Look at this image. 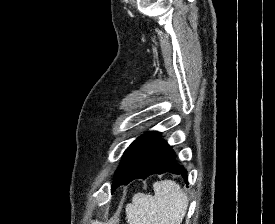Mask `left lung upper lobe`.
Wrapping results in <instances>:
<instances>
[{
	"label": "left lung upper lobe",
	"mask_w": 275,
	"mask_h": 224,
	"mask_svg": "<svg viewBox=\"0 0 275 224\" xmlns=\"http://www.w3.org/2000/svg\"><path fill=\"white\" fill-rule=\"evenodd\" d=\"M153 133L154 132H148L143 134L129 146L123 155V161L121 162V165L115 173L114 181L121 178L128 171L137 154Z\"/></svg>",
	"instance_id": "1"
}]
</instances>
